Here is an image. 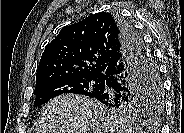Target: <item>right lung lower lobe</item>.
I'll list each match as a JSON object with an SVG mask.
<instances>
[{
  "label": "right lung lower lobe",
  "mask_w": 184,
  "mask_h": 133,
  "mask_svg": "<svg viewBox=\"0 0 184 133\" xmlns=\"http://www.w3.org/2000/svg\"><path fill=\"white\" fill-rule=\"evenodd\" d=\"M121 29V45L103 73L104 88L97 100L106 106L142 101L151 83L150 53L133 26L116 16Z\"/></svg>",
  "instance_id": "right-lung-lower-lobe-1"
}]
</instances>
